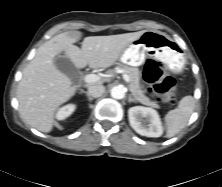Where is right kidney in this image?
Wrapping results in <instances>:
<instances>
[{
    "label": "right kidney",
    "instance_id": "right-kidney-1",
    "mask_svg": "<svg viewBox=\"0 0 222 187\" xmlns=\"http://www.w3.org/2000/svg\"><path fill=\"white\" fill-rule=\"evenodd\" d=\"M75 109L76 107L73 104L66 105L58 110L56 118L58 120H64L65 118L70 116L75 111Z\"/></svg>",
    "mask_w": 222,
    "mask_h": 187
}]
</instances>
